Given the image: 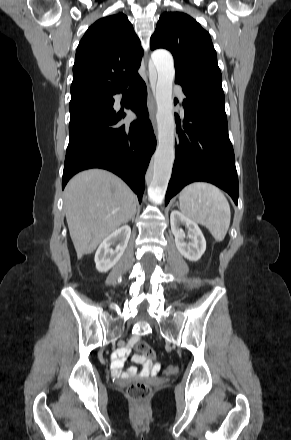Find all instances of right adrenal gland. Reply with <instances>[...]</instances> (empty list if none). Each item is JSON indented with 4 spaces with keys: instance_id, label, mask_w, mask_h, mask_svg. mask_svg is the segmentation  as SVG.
I'll return each mask as SVG.
<instances>
[{
    "instance_id": "1",
    "label": "right adrenal gland",
    "mask_w": 291,
    "mask_h": 440,
    "mask_svg": "<svg viewBox=\"0 0 291 440\" xmlns=\"http://www.w3.org/2000/svg\"><path fill=\"white\" fill-rule=\"evenodd\" d=\"M134 219H135V215L132 217V222L134 221Z\"/></svg>"
}]
</instances>
